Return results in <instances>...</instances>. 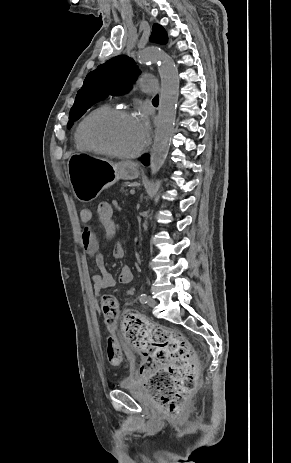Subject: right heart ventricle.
I'll list each match as a JSON object with an SVG mask.
<instances>
[{"label": "right heart ventricle", "mask_w": 291, "mask_h": 463, "mask_svg": "<svg viewBox=\"0 0 291 463\" xmlns=\"http://www.w3.org/2000/svg\"><path fill=\"white\" fill-rule=\"evenodd\" d=\"M111 109L110 108V105L108 103H104V104H101L97 107H95L94 109H92L91 111H89L85 116L82 117V119L79 121V123L77 124L76 128H75V132H74V141H75V145L76 147L79 149V150H82V151H89L91 150L89 147H87V145L83 142L82 140V137H81V129H82V126L83 124L85 123V121L91 117L92 115L94 114H97V113H100V112H104V111H107Z\"/></svg>", "instance_id": "obj_1"}]
</instances>
